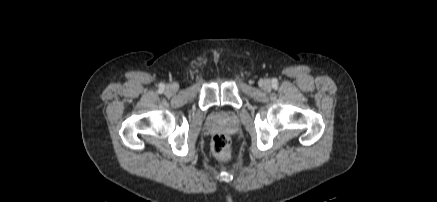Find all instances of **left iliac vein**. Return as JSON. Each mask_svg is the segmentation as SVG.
Masks as SVG:
<instances>
[{
  "mask_svg": "<svg viewBox=\"0 0 437 202\" xmlns=\"http://www.w3.org/2000/svg\"><path fill=\"white\" fill-rule=\"evenodd\" d=\"M260 87L264 90H270L271 89V82L267 79H264L260 82Z\"/></svg>",
  "mask_w": 437,
  "mask_h": 202,
  "instance_id": "4c4485c4",
  "label": "left iliac vein"
}]
</instances>
